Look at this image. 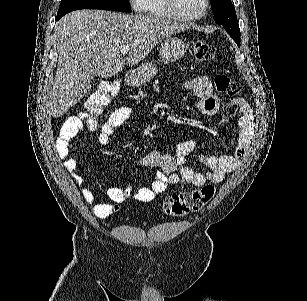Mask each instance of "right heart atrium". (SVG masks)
Segmentation results:
<instances>
[{
    "instance_id": "1",
    "label": "right heart atrium",
    "mask_w": 307,
    "mask_h": 301,
    "mask_svg": "<svg viewBox=\"0 0 307 301\" xmlns=\"http://www.w3.org/2000/svg\"><path fill=\"white\" fill-rule=\"evenodd\" d=\"M131 4H137V11H150V4H146V0H131Z\"/></svg>"
}]
</instances>
